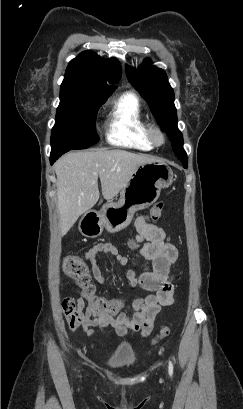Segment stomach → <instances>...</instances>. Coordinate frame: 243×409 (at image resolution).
<instances>
[{"label": "stomach", "mask_w": 243, "mask_h": 409, "mask_svg": "<svg viewBox=\"0 0 243 409\" xmlns=\"http://www.w3.org/2000/svg\"><path fill=\"white\" fill-rule=\"evenodd\" d=\"M173 176L172 169L164 162L141 165L122 188L118 202L107 203L99 212L88 211L84 215L79 224L80 232L87 237H97L104 229L111 233L123 230L136 211L157 201L161 190L173 183Z\"/></svg>", "instance_id": "0dacf381"}]
</instances>
